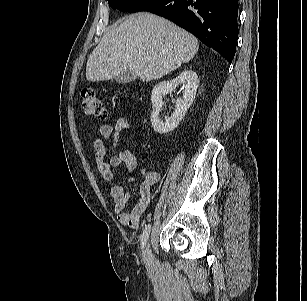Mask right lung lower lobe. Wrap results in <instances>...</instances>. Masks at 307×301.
<instances>
[{
  "label": "right lung lower lobe",
  "mask_w": 307,
  "mask_h": 301,
  "mask_svg": "<svg viewBox=\"0 0 307 301\" xmlns=\"http://www.w3.org/2000/svg\"><path fill=\"white\" fill-rule=\"evenodd\" d=\"M238 0H155L141 11L173 21L232 62L238 38Z\"/></svg>",
  "instance_id": "right-lung-lower-lobe-1"
}]
</instances>
